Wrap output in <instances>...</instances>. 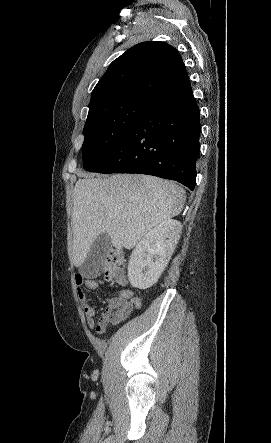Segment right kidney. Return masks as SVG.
Here are the masks:
<instances>
[{
    "label": "right kidney",
    "mask_w": 271,
    "mask_h": 443,
    "mask_svg": "<svg viewBox=\"0 0 271 443\" xmlns=\"http://www.w3.org/2000/svg\"><path fill=\"white\" fill-rule=\"evenodd\" d=\"M181 229L180 222L167 218L145 233L128 263V279L133 287L147 289L158 281L180 239Z\"/></svg>",
    "instance_id": "1"
}]
</instances>
